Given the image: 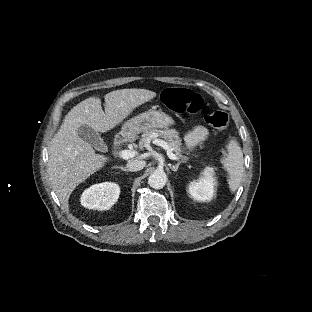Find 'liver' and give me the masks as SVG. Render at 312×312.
<instances>
[{
  "label": "liver",
  "mask_w": 312,
  "mask_h": 312,
  "mask_svg": "<svg viewBox=\"0 0 312 312\" xmlns=\"http://www.w3.org/2000/svg\"><path fill=\"white\" fill-rule=\"evenodd\" d=\"M155 96V92L146 89L115 90L104 97L105 111L99 98L90 97L68 112L51 141L47 163L50 183L65 208L76 186L107 162L106 157L95 154L91 145L78 136V128L87 125L97 132H107Z\"/></svg>",
  "instance_id": "1"
}]
</instances>
